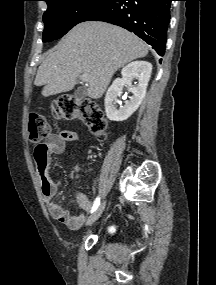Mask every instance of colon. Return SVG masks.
<instances>
[{
    "label": "colon",
    "mask_w": 216,
    "mask_h": 285,
    "mask_svg": "<svg viewBox=\"0 0 216 285\" xmlns=\"http://www.w3.org/2000/svg\"><path fill=\"white\" fill-rule=\"evenodd\" d=\"M50 110L55 119H81L98 139L106 138L107 120L100 106L93 100H77L64 96L54 101ZM28 132L30 140L37 143V147L41 149L46 147L49 136V124L43 114L39 112L30 113Z\"/></svg>",
    "instance_id": "obj_1"
}]
</instances>
